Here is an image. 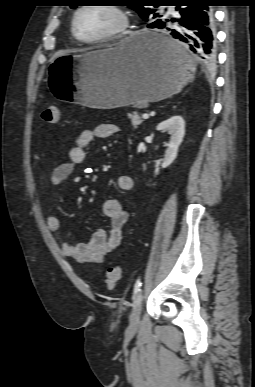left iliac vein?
<instances>
[{
  "mask_svg": "<svg viewBox=\"0 0 255 387\" xmlns=\"http://www.w3.org/2000/svg\"><path fill=\"white\" fill-rule=\"evenodd\" d=\"M142 303H143V294L142 292H139L135 296L132 304V313L130 315V324L132 327H136L139 323Z\"/></svg>",
  "mask_w": 255,
  "mask_h": 387,
  "instance_id": "4c4485c4",
  "label": "left iliac vein"
}]
</instances>
